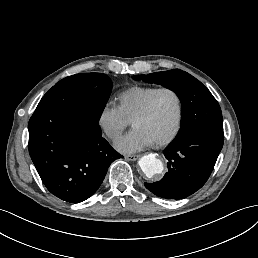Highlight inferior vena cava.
I'll list each match as a JSON object with an SVG mask.
<instances>
[{
    "label": "inferior vena cava",
    "instance_id": "1",
    "mask_svg": "<svg viewBox=\"0 0 258 258\" xmlns=\"http://www.w3.org/2000/svg\"><path fill=\"white\" fill-rule=\"evenodd\" d=\"M106 134H107L108 137H112V135H113L114 133H113L112 130H108V131L106 132Z\"/></svg>",
    "mask_w": 258,
    "mask_h": 258
}]
</instances>
